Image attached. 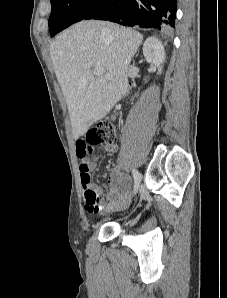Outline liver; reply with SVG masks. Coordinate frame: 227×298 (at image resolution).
Wrapping results in <instances>:
<instances>
[{
  "instance_id": "1",
  "label": "liver",
  "mask_w": 227,
  "mask_h": 298,
  "mask_svg": "<svg viewBox=\"0 0 227 298\" xmlns=\"http://www.w3.org/2000/svg\"><path fill=\"white\" fill-rule=\"evenodd\" d=\"M142 39L141 33L129 28L83 20L51 43L50 56L67 103L74 139L104 118L126 94L130 62ZM95 69H101L102 75L96 76Z\"/></svg>"
}]
</instances>
